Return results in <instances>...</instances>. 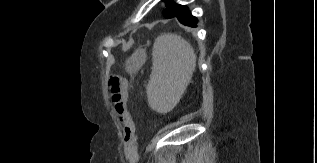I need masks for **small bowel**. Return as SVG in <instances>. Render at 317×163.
I'll use <instances>...</instances> for the list:
<instances>
[{
    "instance_id": "1",
    "label": "small bowel",
    "mask_w": 317,
    "mask_h": 163,
    "mask_svg": "<svg viewBox=\"0 0 317 163\" xmlns=\"http://www.w3.org/2000/svg\"><path fill=\"white\" fill-rule=\"evenodd\" d=\"M117 116L120 120V123L126 133L125 142L127 144L128 156L131 155V152L135 143V134L133 132V119L126 108L125 104L115 105Z\"/></svg>"
}]
</instances>
